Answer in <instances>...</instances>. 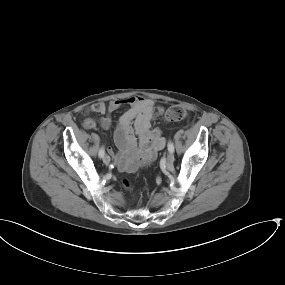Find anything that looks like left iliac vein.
I'll use <instances>...</instances> for the list:
<instances>
[{"label": "left iliac vein", "mask_w": 285, "mask_h": 285, "mask_svg": "<svg viewBox=\"0 0 285 285\" xmlns=\"http://www.w3.org/2000/svg\"><path fill=\"white\" fill-rule=\"evenodd\" d=\"M175 158L173 152H169L166 157V165L169 167L173 164Z\"/></svg>", "instance_id": "obj_1"}]
</instances>
